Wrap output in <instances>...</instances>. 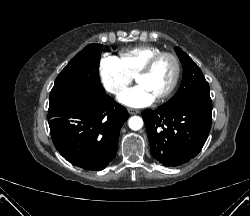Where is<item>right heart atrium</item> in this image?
<instances>
[{
  "label": "right heart atrium",
  "mask_w": 250,
  "mask_h": 216,
  "mask_svg": "<svg viewBox=\"0 0 250 216\" xmlns=\"http://www.w3.org/2000/svg\"><path fill=\"white\" fill-rule=\"evenodd\" d=\"M101 82L109 93L121 95L133 81V76L124 68L119 58L104 55L99 64Z\"/></svg>",
  "instance_id": "d8ad5b80"
}]
</instances>
